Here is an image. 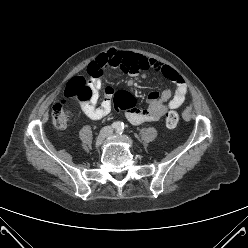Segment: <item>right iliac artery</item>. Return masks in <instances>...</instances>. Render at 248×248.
<instances>
[{"instance_id": "obj_1", "label": "right iliac artery", "mask_w": 248, "mask_h": 248, "mask_svg": "<svg viewBox=\"0 0 248 248\" xmlns=\"http://www.w3.org/2000/svg\"><path fill=\"white\" fill-rule=\"evenodd\" d=\"M121 126H122V123H120V122H114V123L112 124V128H114V129H116V130L120 129Z\"/></svg>"}]
</instances>
